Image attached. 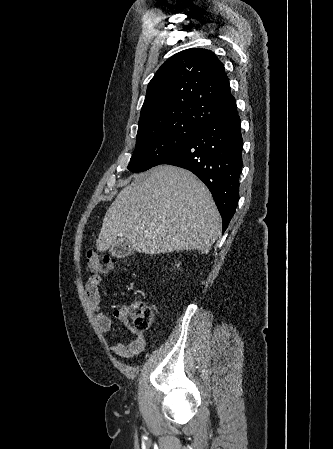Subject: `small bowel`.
Listing matches in <instances>:
<instances>
[{
    "mask_svg": "<svg viewBox=\"0 0 333 449\" xmlns=\"http://www.w3.org/2000/svg\"><path fill=\"white\" fill-rule=\"evenodd\" d=\"M102 277L99 274H94L89 277L86 282V293L89 306L95 315L98 328L102 333H107L111 330L112 322L108 315H106L101 309V293L100 284ZM114 316L121 320L126 321L128 313L127 308H120L114 311ZM134 337L128 343L116 342L111 346V351L122 358H131L140 354L146 346V335L144 331H138L131 329Z\"/></svg>",
    "mask_w": 333,
    "mask_h": 449,
    "instance_id": "c3829d8e",
    "label": "small bowel"
}]
</instances>
